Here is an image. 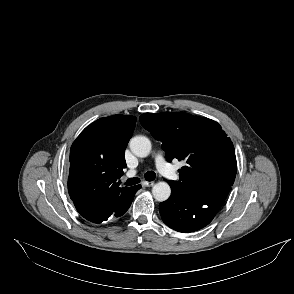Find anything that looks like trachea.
<instances>
[{"mask_svg":"<svg viewBox=\"0 0 294 294\" xmlns=\"http://www.w3.org/2000/svg\"><path fill=\"white\" fill-rule=\"evenodd\" d=\"M145 179L147 181H153L156 178V174L153 171H147L144 175ZM140 182V179L138 177L130 178L126 181L127 186L135 185Z\"/></svg>","mask_w":294,"mask_h":294,"instance_id":"trachea-1","label":"trachea"}]
</instances>
